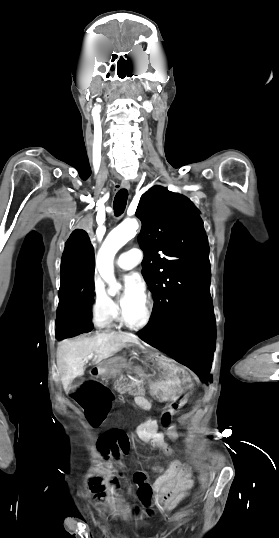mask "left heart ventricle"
<instances>
[{
    "mask_svg": "<svg viewBox=\"0 0 279 538\" xmlns=\"http://www.w3.org/2000/svg\"><path fill=\"white\" fill-rule=\"evenodd\" d=\"M102 218V215H100ZM90 220V218H88ZM124 292L120 295L121 307L124 315L131 321H138L142 318L145 311V303L143 298L132 297L127 300H123Z\"/></svg>",
    "mask_w": 279,
    "mask_h": 538,
    "instance_id": "b2bd125f",
    "label": "left heart ventricle"
}]
</instances>
